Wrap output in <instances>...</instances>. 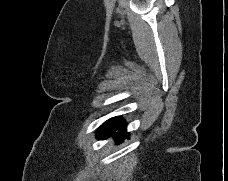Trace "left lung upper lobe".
<instances>
[{"mask_svg":"<svg viewBox=\"0 0 228 181\" xmlns=\"http://www.w3.org/2000/svg\"><path fill=\"white\" fill-rule=\"evenodd\" d=\"M121 121H122V118L120 116H117V117H114V118H111V119L107 120L99 128L113 127V126L119 124Z\"/></svg>","mask_w":228,"mask_h":181,"instance_id":"1","label":"left lung upper lobe"}]
</instances>
